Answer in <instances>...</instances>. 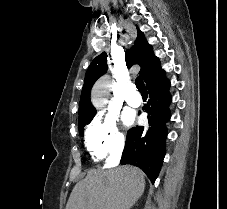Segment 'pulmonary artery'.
I'll return each instance as SVG.
<instances>
[{
  "mask_svg": "<svg viewBox=\"0 0 227 209\" xmlns=\"http://www.w3.org/2000/svg\"><path fill=\"white\" fill-rule=\"evenodd\" d=\"M127 86L128 87L125 88V91L133 93H130L126 96V103L134 107H139L142 104V97L138 92H136L137 91L136 87L138 86V83L128 82Z\"/></svg>",
  "mask_w": 227,
  "mask_h": 209,
  "instance_id": "1",
  "label": "pulmonary artery"
}]
</instances>
